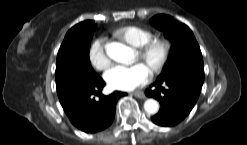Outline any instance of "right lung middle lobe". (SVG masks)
<instances>
[{
	"label": "right lung middle lobe",
	"instance_id": "1",
	"mask_svg": "<svg viewBox=\"0 0 247 145\" xmlns=\"http://www.w3.org/2000/svg\"><path fill=\"white\" fill-rule=\"evenodd\" d=\"M95 28L92 26L67 32L57 54V88L74 80L98 77L89 59L90 41Z\"/></svg>",
	"mask_w": 247,
	"mask_h": 145
}]
</instances>
